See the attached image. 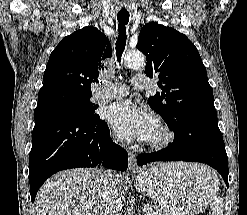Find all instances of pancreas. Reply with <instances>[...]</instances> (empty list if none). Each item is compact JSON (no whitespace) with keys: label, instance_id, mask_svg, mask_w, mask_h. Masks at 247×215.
<instances>
[{"label":"pancreas","instance_id":"1","mask_svg":"<svg viewBox=\"0 0 247 215\" xmlns=\"http://www.w3.org/2000/svg\"><path fill=\"white\" fill-rule=\"evenodd\" d=\"M144 215H148L147 212H144ZM150 215H168V214L162 211H151Z\"/></svg>","mask_w":247,"mask_h":215}]
</instances>
